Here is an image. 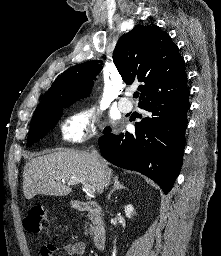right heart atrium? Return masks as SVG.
<instances>
[{
	"instance_id": "right-heart-atrium-1",
	"label": "right heart atrium",
	"mask_w": 221,
	"mask_h": 256,
	"mask_svg": "<svg viewBox=\"0 0 221 256\" xmlns=\"http://www.w3.org/2000/svg\"><path fill=\"white\" fill-rule=\"evenodd\" d=\"M100 125V113L94 105L79 107L68 113L60 125L64 143H81L95 137Z\"/></svg>"
}]
</instances>
